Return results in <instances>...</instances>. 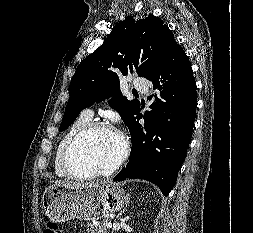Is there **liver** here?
I'll list each match as a JSON object with an SVG mask.
<instances>
[{"instance_id":"obj_1","label":"liver","mask_w":253,"mask_h":233,"mask_svg":"<svg viewBox=\"0 0 253 233\" xmlns=\"http://www.w3.org/2000/svg\"><path fill=\"white\" fill-rule=\"evenodd\" d=\"M52 183L55 184H62V185H66V186H70L73 188H85V187H89V186H98L99 183L98 182H88V183H77V182H68V181H52Z\"/></svg>"}]
</instances>
